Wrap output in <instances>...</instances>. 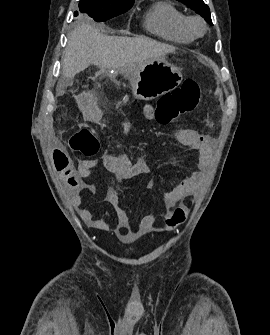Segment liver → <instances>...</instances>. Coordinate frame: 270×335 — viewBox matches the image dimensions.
<instances>
[{
	"label": "liver",
	"mask_w": 270,
	"mask_h": 335,
	"mask_svg": "<svg viewBox=\"0 0 270 335\" xmlns=\"http://www.w3.org/2000/svg\"><path fill=\"white\" fill-rule=\"evenodd\" d=\"M171 52H175V48L169 44H161L150 38L106 36L83 22L68 36L62 56V72L66 78H74L94 64L102 72L127 68L130 78H134L139 68Z\"/></svg>",
	"instance_id": "6515ba94"
}]
</instances>
